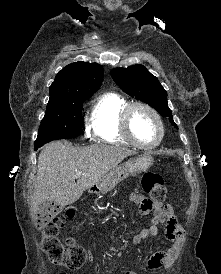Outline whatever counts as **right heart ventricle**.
<instances>
[{
    "mask_svg": "<svg viewBox=\"0 0 221 274\" xmlns=\"http://www.w3.org/2000/svg\"><path fill=\"white\" fill-rule=\"evenodd\" d=\"M131 102L116 92L100 95L91 111V128L93 136L101 142L132 145L121 129V116Z\"/></svg>",
    "mask_w": 221,
    "mask_h": 274,
    "instance_id": "e07e8e85",
    "label": "right heart ventricle"
}]
</instances>
